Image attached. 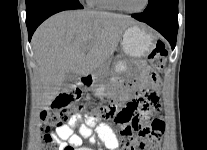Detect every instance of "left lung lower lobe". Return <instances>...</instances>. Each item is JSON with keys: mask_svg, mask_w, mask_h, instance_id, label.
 <instances>
[{"mask_svg": "<svg viewBox=\"0 0 207 150\" xmlns=\"http://www.w3.org/2000/svg\"><path fill=\"white\" fill-rule=\"evenodd\" d=\"M132 17L160 32L169 41L172 50L175 48L178 31V0H169L153 11H144Z\"/></svg>", "mask_w": 207, "mask_h": 150, "instance_id": "0a47b994", "label": "left lung lower lobe"}]
</instances>
